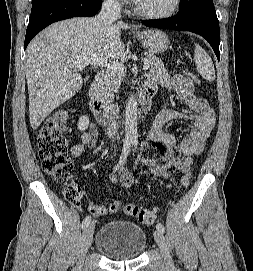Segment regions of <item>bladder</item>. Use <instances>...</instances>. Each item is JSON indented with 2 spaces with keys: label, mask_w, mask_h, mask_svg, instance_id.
Instances as JSON below:
<instances>
[{
  "label": "bladder",
  "mask_w": 253,
  "mask_h": 271,
  "mask_svg": "<svg viewBox=\"0 0 253 271\" xmlns=\"http://www.w3.org/2000/svg\"><path fill=\"white\" fill-rule=\"evenodd\" d=\"M145 231L127 220H114L98 231L95 247L108 259L123 261L136 259L146 248Z\"/></svg>",
  "instance_id": "31cf9c89"
}]
</instances>
